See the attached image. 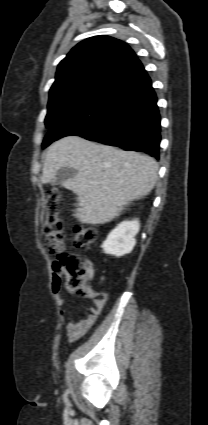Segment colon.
I'll return each instance as SVG.
<instances>
[{
	"label": "colon",
	"instance_id": "obj_1",
	"mask_svg": "<svg viewBox=\"0 0 208 425\" xmlns=\"http://www.w3.org/2000/svg\"><path fill=\"white\" fill-rule=\"evenodd\" d=\"M59 203L60 189H49L47 209L42 220L44 247L53 256V271L56 276L64 277L66 288L71 293L85 295L90 264L84 257L65 250L64 225L58 212ZM96 240L95 228L86 225L74 227L73 243L77 248H88Z\"/></svg>",
	"mask_w": 208,
	"mask_h": 425
}]
</instances>
